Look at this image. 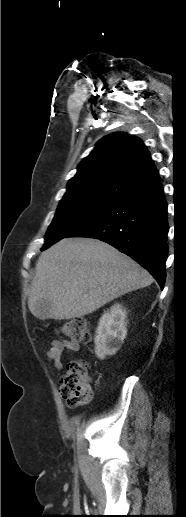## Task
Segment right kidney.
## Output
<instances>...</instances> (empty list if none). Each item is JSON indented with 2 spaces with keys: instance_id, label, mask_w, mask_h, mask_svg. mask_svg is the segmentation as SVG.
Segmentation results:
<instances>
[{
  "instance_id": "1",
  "label": "right kidney",
  "mask_w": 186,
  "mask_h": 517,
  "mask_svg": "<svg viewBox=\"0 0 186 517\" xmlns=\"http://www.w3.org/2000/svg\"><path fill=\"white\" fill-rule=\"evenodd\" d=\"M126 310L115 304L100 318L96 329L95 353L99 359L115 354L127 335Z\"/></svg>"
}]
</instances>
